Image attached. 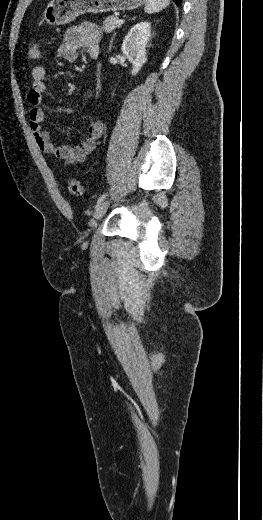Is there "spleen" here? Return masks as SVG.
<instances>
[{
  "label": "spleen",
  "instance_id": "3e777b00",
  "mask_svg": "<svg viewBox=\"0 0 263 520\" xmlns=\"http://www.w3.org/2000/svg\"><path fill=\"white\" fill-rule=\"evenodd\" d=\"M170 3V0H147V4L144 8L148 14L157 13L162 9L166 8Z\"/></svg>",
  "mask_w": 263,
  "mask_h": 520
}]
</instances>
